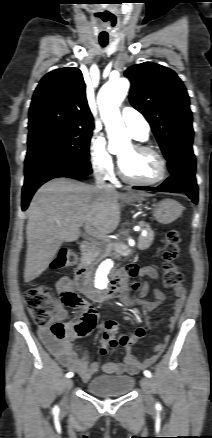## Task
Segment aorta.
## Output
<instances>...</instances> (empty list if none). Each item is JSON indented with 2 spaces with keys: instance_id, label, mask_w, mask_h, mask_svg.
Wrapping results in <instances>:
<instances>
[{
  "instance_id": "762f6f07",
  "label": "aorta",
  "mask_w": 212,
  "mask_h": 438,
  "mask_svg": "<svg viewBox=\"0 0 212 438\" xmlns=\"http://www.w3.org/2000/svg\"><path fill=\"white\" fill-rule=\"evenodd\" d=\"M129 90L126 78L110 80L100 89L98 105L109 138V149L113 150L118 140L127 137V130L122 120L119 105ZM113 261L106 260L92 275V283L98 291H105L109 285V274Z\"/></svg>"
}]
</instances>
